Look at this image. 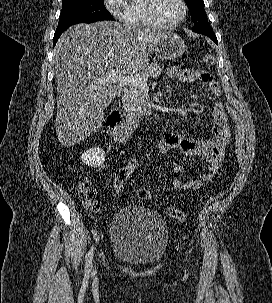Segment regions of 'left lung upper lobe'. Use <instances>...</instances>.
Wrapping results in <instances>:
<instances>
[{
    "label": "left lung upper lobe",
    "instance_id": "left-lung-upper-lobe-1",
    "mask_svg": "<svg viewBox=\"0 0 272 303\" xmlns=\"http://www.w3.org/2000/svg\"><path fill=\"white\" fill-rule=\"evenodd\" d=\"M185 2L190 10L194 22L192 31L201 34L213 33L207 19L203 0H185Z\"/></svg>",
    "mask_w": 272,
    "mask_h": 303
}]
</instances>
